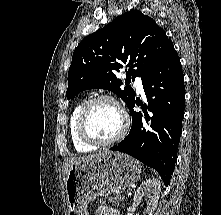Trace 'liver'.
<instances>
[{"instance_id": "6515ba94", "label": "liver", "mask_w": 221, "mask_h": 215, "mask_svg": "<svg viewBox=\"0 0 221 215\" xmlns=\"http://www.w3.org/2000/svg\"><path fill=\"white\" fill-rule=\"evenodd\" d=\"M102 153H99V154H93V155H89V156H82V157H73V158H68L65 162V165H64V180L66 179V176L69 172V169L76 163L78 162H81L85 159H92V158H95L99 155H101Z\"/></svg>"}]
</instances>
